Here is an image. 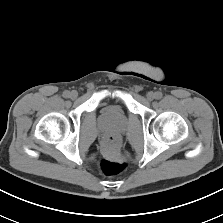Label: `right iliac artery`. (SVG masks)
Returning <instances> with one entry per match:
<instances>
[{"label": "right iliac artery", "instance_id": "1", "mask_svg": "<svg viewBox=\"0 0 223 223\" xmlns=\"http://www.w3.org/2000/svg\"><path fill=\"white\" fill-rule=\"evenodd\" d=\"M63 97H65V98L70 97V92L69 91H64L63 92Z\"/></svg>", "mask_w": 223, "mask_h": 223}]
</instances>
